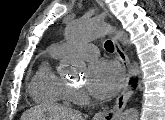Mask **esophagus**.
I'll return each mask as SVG.
<instances>
[{
	"mask_svg": "<svg viewBox=\"0 0 165 120\" xmlns=\"http://www.w3.org/2000/svg\"><path fill=\"white\" fill-rule=\"evenodd\" d=\"M100 4L102 5L101 2ZM111 38L114 44L116 56L122 63V65L127 69L128 77L125 81L122 91L116 99L115 106L111 110L96 113L94 116V120H117V118L120 116L123 109L125 108L131 95V91L129 88V77L133 75V69L130 60L121 48L116 36L111 35Z\"/></svg>",
	"mask_w": 165,
	"mask_h": 120,
	"instance_id": "34e87169",
	"label": "esophagus"
}]
</instances>
